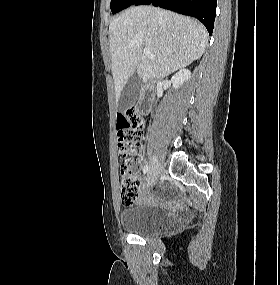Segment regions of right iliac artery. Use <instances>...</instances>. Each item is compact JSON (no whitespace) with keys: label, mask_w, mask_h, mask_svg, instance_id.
Masks as SVG:
<instances>
[{"label":"right iliac artery","mask_w":280,"mask_h":285,"mask_svg":"<svg viewBox=\"0 0 280 285\" xmlns=\"http://www.w3.org/2000/svg\"><path fill=\"white\" fill-rule=\"evenodd\" d=\"M148 172V165L146 164L144 167H143V173L146 174Z\"/></svg>","instance_id":"right-iliac-artery-1"}]
</instances>
